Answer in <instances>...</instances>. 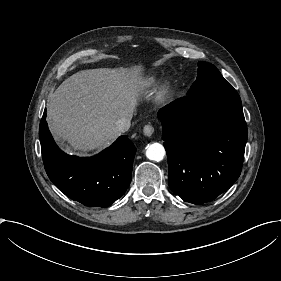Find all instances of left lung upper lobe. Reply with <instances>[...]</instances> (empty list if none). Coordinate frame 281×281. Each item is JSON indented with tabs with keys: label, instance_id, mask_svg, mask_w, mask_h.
<instances>
[{
	"label": "left lung upper lobe",
	"instance_id": "5c2ea615",
	"mask_svg": "<svg viewBox=\"0 0 281 281\" xmlns=\"http://www.w3.org/2000/svg\"><path fill=\"white\" fill-rule=\"evenodd\" d=\"M197 73L196 81L192 84L188 94L210 88H232L231 84L223 78L219 70L213 64L199 62Z\"/></svg>",
	"mask_w": 281,
	"mask_h": 281
}]
</instances>
